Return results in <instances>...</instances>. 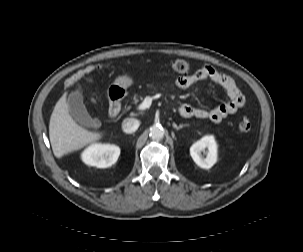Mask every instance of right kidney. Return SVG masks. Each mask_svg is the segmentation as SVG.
I'll return each mask as SVG.
<instances>
[{
  "mask_svg": "<svg viewBox=\"0 0 303 252\" xmlns=\"http://www.w3.org/2000/svg\"><path fill=\"white\" fill-rule=\"evenodd\" d=\"M120 148L110 144H93L82 154V161L97 168H107L118 160Z\"/></svg>",
  "mask_w": 303,
  "mask_h": 252,
  "instance_id": "ca27d5eb",
  "label": "right kidney"
}]
</instances>
